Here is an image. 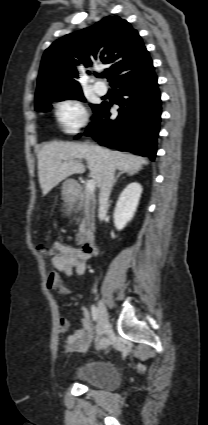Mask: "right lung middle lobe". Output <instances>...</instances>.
I'll list each match as a JSON object with an SVG mask.
<instances>
[{
    "mask_svg": "<svg viewBox=\"0 0 208 425\" xmlns=\"http://www.w3.org/2000/svg\"><path fill=\"white\" fill-rule=\"evenodd\" d=\"M67 99H75L80 101H85V98L83 96V93L81 90L69 92V93H50L48 95L43 96L40 100H38L35 103V110L36 111H49L51 109V102L56 101H62ZM98 105L94 104L91 105L92 109L94 110Z\"/></svg>",
    "mask_w": 208,
    "mask_h": 425,
    "instance_id": "1",
    "label": "right lung middle lobe"
}]
</instances>
